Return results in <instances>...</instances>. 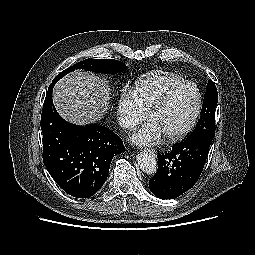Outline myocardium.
Listing matches in <instances>:
<instances>
[{"mask_svg":"<svg viewBox=\"0 0 255 255\" xmlns=\"http://www.w3.org/2000/svg\"><path fill=\"white\" fill-rule=\"evenodd\" d=\"M194 86L196 91H197V105H196V109L195 112L192 116V118L190 119V121L188 122V124L180 131H178L177 133L174 134H168L165 135V139L168 142H178L181 141L182 139H184L194 128V126L196 125L199 116L201 114V110H202V104H203V98H202V92L201 89L199 88V86L192 82V81H184L182 83H180L179 85L173 87L171 90H169L149 111V118L151 119V117L156 114L157 112H159L160 110H162L172 99V97L179 92L180 90H182L184 87L186 86Z\"/></svg>","mask_w":255,"mask_h":255,"instance_id":"f54148a6","label":"myocardium"}]
</instances>
